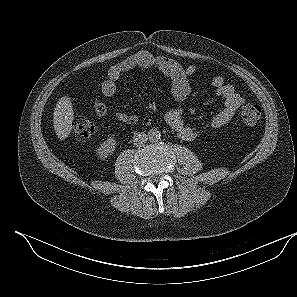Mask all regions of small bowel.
I'll list each match as a JSON object with an SVG mask.
<instances>
[{"instance_id":"c3829d8e","label":"small bowel","mask_w":297,"mask_h":297,"mask_svg":"<svg viewBox=\"0 0 297 297\" xmlns=\"http://www.w3.org/2000/svg\"><path fill=\"white\" fill-rule=\"evenodd\" d=\"M134 69L159 70L171 80L172 95L178 102L183 101L189 95L190 81L198 71V67L194 64L184 67L175 60L156 56L146 50H140L114 64L109 69L107 77L101 86L102 94L106 97L115 95L119 80ZM210 84L213 86L215 94L223 100V107L206 125L200 128L185 125L181 109L178 107L166 112V123L182 140L193 141L208 130L226 125L245 101L235 88L226 83L221 76L211 78ZM94 109L99 116H104L107 113L106 104L99 98H96L94 101ZM115 117L117 120L127 124L137 121L136 116L123 112H117Z\"/></svg>"}]
</instances>
